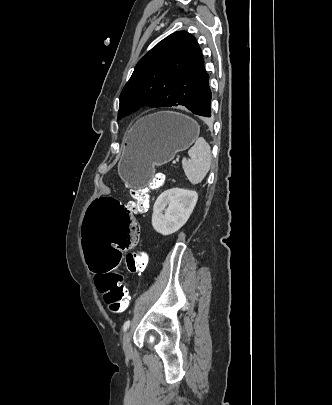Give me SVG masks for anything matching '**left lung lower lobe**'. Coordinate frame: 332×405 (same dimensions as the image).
<instances>
[{"mask_svg":"<svg viewBox=\"0 0 332 405\" xmlns=\"http://www.w3.org/2000/svg\"><path fill=\"white\" fill-rule=\"evenodd\" d=\"M211 90L209 87V75L205 71L202 79L200 80L194 100L188 109L192 111L194 114L203 116V117H211Z\"/></svg>","mask_w":332,"mask_h":405,"instance_id":"0a47b994","label":"left lung lower lobe"}]
</instances>
